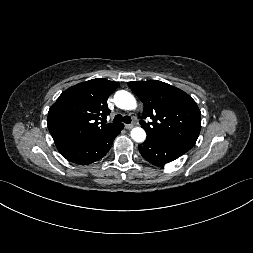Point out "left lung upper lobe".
I'll return each instance as SVG.
<instances>
[{"mask_svg": "<svg viewBox=\"0 0 253 253\" xmlns=\"http://www.w3.org/2000/svg\"><path fill=\"white\" fill-rule=\"evenodd\" d=\"M144 104L141 122L147 138L190 150L201 129L200 110L184 91L158 80L128 82Z\"/></svg>", "mask_w": 253, "mask_h": 253, "instance_id": "left-lung-upper-lobe-1", "label": "left lung upper lobe"}]
</instances>
